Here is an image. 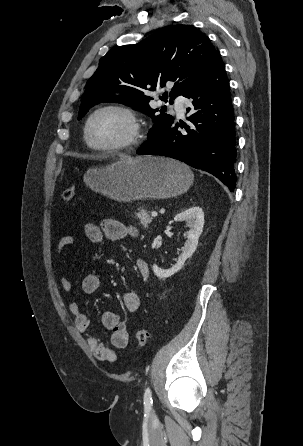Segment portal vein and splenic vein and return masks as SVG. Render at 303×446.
<instances>
[{
	"label": "portal vein and splenic vein",
	"mask_w": 303,
	"mask_h": 446,
	"mask_svg": "<svg viewBox=\"0 0 303 446\" xmlns=\"http://www.w3.org/2000/svg\"><path fill=\"white\" fill-rule=\"evenodd\" d=\"M151 215H152L153 217H157L158 213H157L156 211H152V212H151Z\"/></svg>",
	"instance_id": "18ae733b"
}]
</instances>
